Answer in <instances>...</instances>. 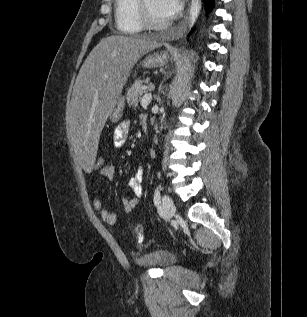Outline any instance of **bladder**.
Segmentation results:
<instances>
[{
    "instance_id": "obj_1",
    "label": "bladder",
    "mask_w": 307,
    "mask_h": 317,
    "mask_svg": "<svg viewBox=\"0 0 307 317\" xmlns=\"http://www.w3.org/2000/svg\"><path fill=\"white\" fill-rule=\"evenodd\" d=\"M175 261L174 254L163 250L152 251L136 258V262L141 266L168 267L173 265Z\"/></svg>"
}]
</instances>
